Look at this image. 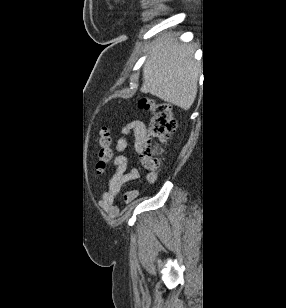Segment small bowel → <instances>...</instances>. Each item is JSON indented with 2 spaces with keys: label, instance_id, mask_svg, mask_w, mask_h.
Returning a JSON list of instances; mask_svg holds the SVG:
<instances>
[{
  "label": "small bowel",
  "instance_id": "1",
  "mask_svg": "<svg viewBox=\"0 0 286 308\" xmlns=\"http://www.w3.org/2000/svg\"><path fill=\"white\" fill-rule=\"evenodd\" d=\"M146 135L145 125L142 121H132L126 125L121 133V137L117 142V150L123 152L127 149L129 139L132 136L136 149H139ZM115 172L111 176L108 185L107 198L103 201V205L110 211L112 215L116 214L117 208L112 205L113 200L118 195L121 187L134 179H137L140 175L138 169L134 166L129 167L128 159L125 155H118L114 160ZM148 179L154 181L155 177L149 174ZM137 195L135 190H129L126 192L124 199L126 202L133 200Z\"/></svg>",
  "mask_w": 286,
  "mask_h": 308
}]
</instances>
